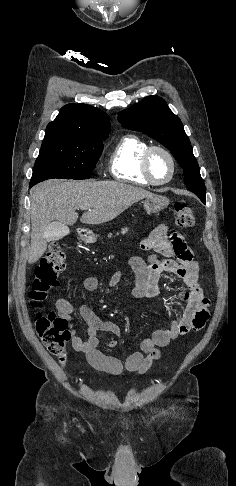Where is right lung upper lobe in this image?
I'll list each match as a JSON object with an SVG mask.
<instances>
[{"label": "right lung upper lobe", "mask_w": 236, "mask_h": 486, "mask_svg": "<svg viewBox=\"0 0 236 486\" xmlns=\"http://www.w3.org/2000/svg\"><path fill=\"white\" fill-rule=\"evenodd\" d=\"M109 116L87 104H67L56 119L50 122L45 134L70 135L97 140L107 137L110 131Z\"/></svg>", "instance_id": "right-lung-upper-lobe-1"}]
</instances>
